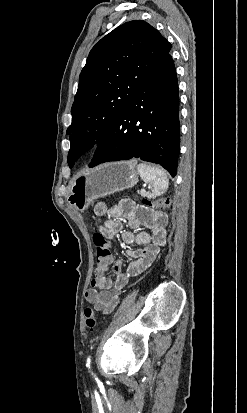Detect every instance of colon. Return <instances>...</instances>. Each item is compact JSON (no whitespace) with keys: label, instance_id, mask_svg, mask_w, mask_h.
Wrapping results in <instances>:
<instances>
[{"label":"colon","instance_id":"1","mask_svg":"<svg viewBox=\"0 0 247 413\" xmlns=\"http://www.w3.org/2000/svg\"><path fill=\"white\" fill-rule=\"evenodd\" d=\"M144 204H153L155 206V209L157 210H162L166 211L172 207V201L170 198L162 197L158 198L157 200H151V199H143L141 201ZM91 240L94 242L95 246L97 247V263L99 266H101L102 269H107L108 265L110 263V256H111V250L108 244H105V241L103 239L102 233H93L91 235ZM84 321H85V327L93 330L96 327V322H97V317L91 308H85L84 309Z\"/></svg>","mask_w":247,"mask_h":413}]
</instances>
